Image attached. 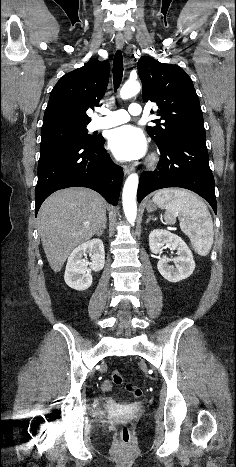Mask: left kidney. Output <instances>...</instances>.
Instances as JSON below:
<instances>
[{
  "mask_svg": "<svg viewBox=\"0 0 236 467\" xmlns=\"http://www.w3.org/2000/svg\"><path fill=\"white\" fill-rule=\"evenodd\" d=\"M164 245L177 250L178 257L172 259L175 266H169V259L163 256L159 259V273L169 282H179L187 279L195 269L193 254L187 244L177 235L166 230H153L149 235V247L152 253L162 254Z\"/></svg>",
  "mask_w": 236,
  "mask_h": 467,
  "instance_id": "left-kidney-1",
  "label": "left kidney"
}]
</instances>
